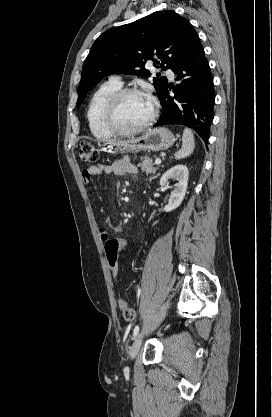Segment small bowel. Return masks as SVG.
<instances>
[{
    "mask_svg": "<svg viewBox=\"0 0 272 417\" xmlns=\"http://www.w3.org/2000/svg\"><path fill=\"white\" fill-rule=\"evenodd\" d=\"M138 173L137 167L127 158H122L114 161L112 164L104 165L98 164L87 167L82 171V177L85 183H90L92 178L96 175H117L121 177H136ZM102 241L106 242L110 239V234L101 229L99 232Z\"/></svg>",
    "mask_w": 272,
    "mask_h": 417,
    "instance_id": "1",
    "label": "small bowel"
}]
</instances>
